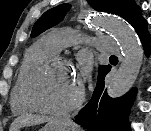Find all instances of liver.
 Listing matches in <instances>:
<instances>
[{"label": "liver", "instance_id": "6515ba94", "mask_svg": "<svg viewBox=\"0 0 151 131\" xmlns=\"http://www.w3.org/2000/svg\"><path fill=\"white\" fill-rule=\"evenodd\" d=\"M58 119H53L39 115H22L17 117L11 124L9 131H19L24 126L37 125L44 122H54Z\"/></svg>", "mask_w": 151, "mask_h": 131}]
</instances>
